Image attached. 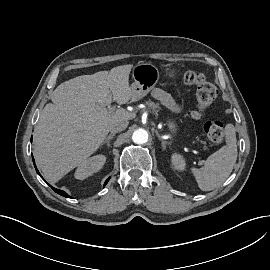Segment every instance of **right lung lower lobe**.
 <instances>
[{
  "instance_id": "98d812e1",
  "label": "right lung lower lobe",
  "mask_w": 270,
  "mask_h": 270,
  "mask_svg": "<svg viewBox=\"0 0 270 270\" xmlns=\"http://www.w3.org/2000/svg\"><path fill=\"white\" fill-rule=\"evenodd\" d=\"M32 159H33L34 166H35V168H36V165H35V162H34V158L32 157ZM36 171H37V173L40 175V173L38 172L37 168H36ZM40 176H41V175H40ZM41 177H42V176H41ZM108 181H109V178L106 180L104 186L107 184ZM52 189H53L56 193H58V194H60V195H62V196H64V197L70 198V196H69L66 192H64L63 190H59V189H56V188H53V187H52Z\"/></svg>"
}]
</instances>
